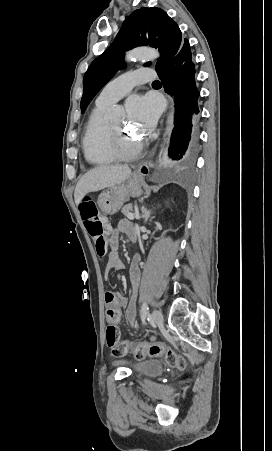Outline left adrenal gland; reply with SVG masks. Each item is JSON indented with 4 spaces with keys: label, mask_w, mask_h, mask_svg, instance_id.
Here are the masks:
<instances>
[{
    "label": "left adrenal gland",
    "mask_w": 272,
    "mask_h": 451,
    "mask_svg": "<svg viewBox=\"0 0 272 451\" xmlns=\"http://www.w3.org/2000/svg\"><path fill=\"white\" fill-rule=\"evenodd\" d=\"M142 216L141 218H144V224H146L148 218H150L151 210H146V208H141Z\"/></svg>",
    "instance_id": "a2214340"
}]
</instances>
